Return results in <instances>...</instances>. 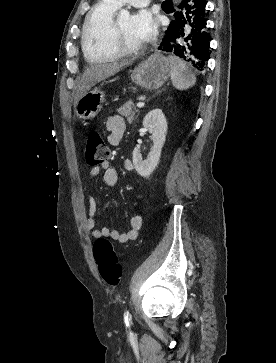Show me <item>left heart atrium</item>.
Returning a JSON list of instances; mask_svg holds the SVG:
<instances>
[{"label": "left heart atrium", "instance_id": "left-heart-atrium-1", "mask_svg": "<svg viewBox=\"0 0 276 363\" xmlns=\"http://www.w3.org/2000/svg\"><path fill=\"white\" fill-rule=\"evenodd\" d=\"M133 25L143 41L152 39L158 27L156 18L146 10L139 11L133 16Z\"/></svg>", "mask_w": 276, "mask_h": 363}]
</instances>
